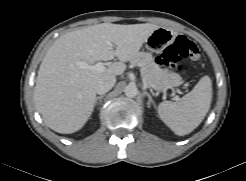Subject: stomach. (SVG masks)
Here are the masks:
<instances>
[{
    "instance_id": "obj_1",
    "label": "stomach",
    "mask_w": 246,
    "mask_h": 181,
    "mask_svg": "<svg viewBox=\"0 0 246 181\" xmlns=\"http://www.w3.org/2000/svg\"><path fill=\"white\" fill-rule=\"evenodd\" d=\"M176 38V34L173 30L159 27L156 29L145 41L146 47L152 52H158L167 45L171 44ZM180 82H173L170 86H178Z\"/></svg>"
}]
</instances>
